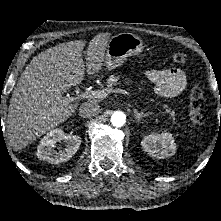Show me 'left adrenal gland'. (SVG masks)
<instances>
[{
    "label": "left adrenal gland",
    "mask_w": 221,
    "mask_h": 221,
    "mask_svg": "<svg viewBox=\"0 0 221 221\" xmlns=\"http://www.w3.org/2000/svg\"><path fill=\"white\" fill-rule=\"evenodd\" d=\"M133 112L135 114V118L137 120L138 123L141 122L142 118L144 117H147L149 115H151L152 113L151 112H147V113H144V112H139L137 109H133Z\"/></svg>",
    "instance_id": "a2214340"
}]
</instances>
